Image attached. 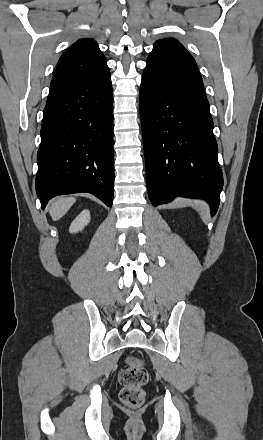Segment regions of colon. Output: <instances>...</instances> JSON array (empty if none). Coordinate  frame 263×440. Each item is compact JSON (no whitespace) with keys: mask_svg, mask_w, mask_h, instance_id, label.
<instances>
[{"mask_svg":"<svg viewBox=\"0 0 263 440\" xmlns=\"http://www.w3.org/2000/svg\"><path fill=\"white\" fill-rule=\"evenodd\" d=\"M149 379L144 362L136 357H129L119 373L122 388L119 393L121 402L131 408H139L144 404L143 387Z\"/></svg>","mask_w":263,"mask_h":440,"instance_id":"1","label":"colon"}]
</instances>
